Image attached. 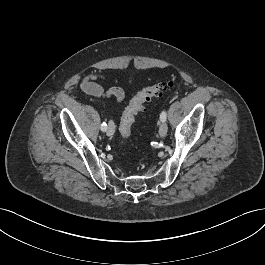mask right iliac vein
<instances>
[{"label": "right iliac vein", "mask_w": 265, "mask_h": 265, "mask_svg": "<svg viewBox=\"0 0 265 265\" xmlns=\"http://www.w3.org/2000/svg\"><path fill=\"white\" fill-rule=\"evenodd\" d=\"M114 132H115L114 123L110 121L107 126L106 134L107 136L111 137L114 134Z\"/></svg>", "instance_id": "63e3f726"}]
</instances>
